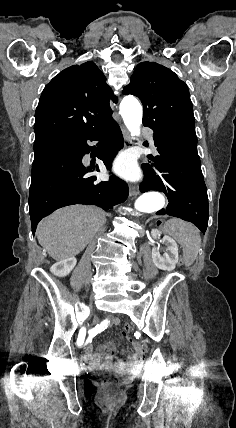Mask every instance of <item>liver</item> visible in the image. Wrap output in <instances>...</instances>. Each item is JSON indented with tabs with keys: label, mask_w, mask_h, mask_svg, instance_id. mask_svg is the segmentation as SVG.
I'll list each match as a JSON object with an SVG mask.
<instances>
[{
	"label": "liver",
	"mask_w": 236,
	"mask_h": 428,
	"mask_svg": "<svg viewBox=\"0 0 236 428\" xmlns=\"http://www.w3.org/2000/svg\"><path fill=\"white\" fill-rule=\"evenodd\" d=\"M105 222L99 208L67 206L41 220L38 242L54 260H66L83 252Z\"/></svg>",
	"instance_id": "liver-1"
}]
</instances>
